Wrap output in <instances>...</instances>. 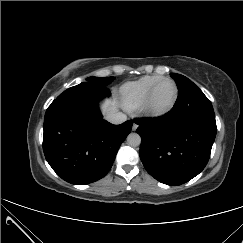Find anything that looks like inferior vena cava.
I'll return each instance as SVG.
<instances>
[{
  "label": "inferior vena cava",
  "mask_w": 243,
  "mask_h": 243,
  "mask_svg": "<svg viewBox=\"0 0 243 243\" xmlns=\"http://www.w3.org/2000/svg\"><path fill=\"white\" fill-rule=\"evenodd\" d=\"M127 116L122 112H113L106 116V120L112 124H121L125 122Z\"/></svg>",
  "instance_id": "1"
}]
</instances>
